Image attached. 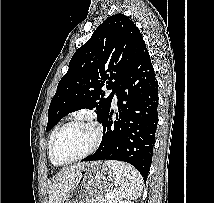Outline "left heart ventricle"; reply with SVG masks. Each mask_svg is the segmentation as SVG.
Returning <instances> with one entry per match:
<instances>
[{
	"label": "left heart ventricle",
	"instance_id": "obj_1",
	"mask_svg": "<svg viewBox=\"0 0 214 203\" xmlns=\"http://www.w3.org/2000/svg\"><path fill=\"white\" fill-rule=\"evenodd\" d=\"M95 138L94 130L85 124H76L66 128L58 138L56 157L60 161H69L86 152Z\"/></svg>",
	"mask_w": 214,
	"mask_h": 203
}]
</instances>
